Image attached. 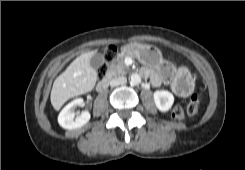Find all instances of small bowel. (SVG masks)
Instances as JSON below:
<instances>
[{
	"mask_svg": "<svg viewBox=\"0 0 245 170\" xmlns=\"http://www.w3.org/2000/svg\"><path fill=\"white\" fill-rule=\"evenodd\" d=\"M141 74L145 77H149L150 83L154 87H159L162 84L171 87L173 85V81L177 77H186L185 71L177 70L172 64L168 62L162 63L155 72H152L148 68H143L141 70Z\"/></svg>",
	"mask_w": 245,
	"mask_h": 170,
	"instance_id": "obj_1",
	"label": "small bowel"
}]
</instances>
